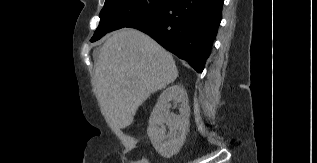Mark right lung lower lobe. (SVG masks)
Returning <instances> with one entry per match:
<instances>
[{
  "instance_id": "right-lung-lower-lobe-1",
  "label": "right lung lower lobe",
  "mask_w": 317,
  "mask_h": 163,
  "mask_svg": "<svg viewBox=\"0 0 317 163\" xmlns=\"http://www.w3.org/2000/svg\"><path fill=\"white\" fill-rule=\"evenodd\" d=\"M224 0H169L149 16L130 24L186 60L204 69L221 21Z\"/></svg>"
}]
</instances>
